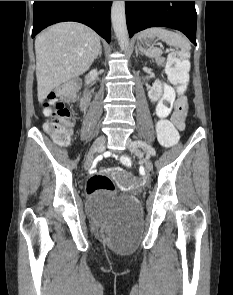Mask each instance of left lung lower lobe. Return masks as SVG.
Listing matches in <instances>:
<instances>
[{
  "label": "left lung lower lobe",
  "instance_id": "left-lung-lower-lobe-1",
  "mask_svg": "<svg viewBox=\"0 0 233 295\" xmlns=\"http://www.w3.org/2000/svg\"><path fill=\"white\" fill-rule=\"evenodd\" d=\"M129 36L155 26L182 31L196 45L194 1H125Z\"/></svg>",
  "mask_w": 233,
  "mask_h": 295
}]
</instances>
